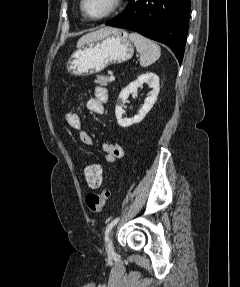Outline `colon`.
I'll return each mask as SVG.
<instances>
[{
    "mask_svg": "<svg viewBox=\"0 0 240 287\" xmlns=\"http://www.w3.org/2000/svg\"><path fill=\"white\" fill-rule=\"evenodd\" d=\"M86 184L93 189L100 188L103 184V170L100 164L88 160L84 167ZM110 196L107 188H102L99 193L86 196V204L92 213L99 214L103 211L106 201Z\"/></svg>",
    "mask_w": 240,
    "mask_h": 287,
    "instance_id": "5ec220e1",
    "label": "colon"
}]
</instances>
